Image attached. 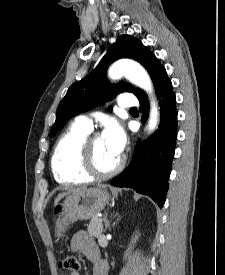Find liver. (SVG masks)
I'll use <instances>...</instances> for the list:
<instances>
[{"label": "liver", "instance_id": "6515ba94", "mask_svg": "<svg viewBox=\"0 0 225 275\" xmlns=\"http://www.w3.org/2000/svg\"><path fill=\"white\" fill-rule=\"evenodd\" d=\"M86 189H87L86 187H80V188H77V189H71V190H69L67 193H76V192L84 191V190H86ZM67 193H66V192L60 193V194L56 197L54 204L56 205V204H57V203L67 194Z\"/></svg>", "mask_w": 225, "mask_h": 275}]
</instances>
